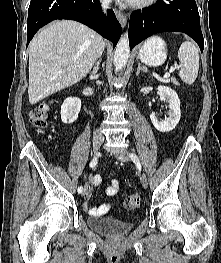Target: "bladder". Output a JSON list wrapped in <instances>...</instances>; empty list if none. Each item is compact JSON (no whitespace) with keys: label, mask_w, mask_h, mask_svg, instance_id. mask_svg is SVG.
<instances>
[{"label":"bladder","mask_w":221,"mask_h":263,"mask_svg":"<svg viewBox=\"0 0 221 263\" xmlns=\"http://www.w3.org/2000/svg\"><path fill=\"white\" fill-rule=\"evenodd\" d=\"M90 229L105 236L118 238L129 233L134 225L132 220H120L111 216H91L87 219Z\"/></svg>","instance_id":"obj_1"}]
</instances>
